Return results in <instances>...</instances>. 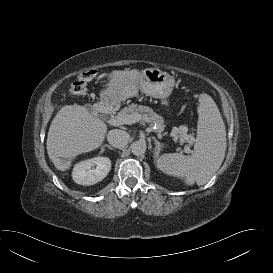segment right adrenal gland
Masks as SVG:
<instances>
[{
	"instance_id": "right-adrenal-gland-1",
	"label": "right adrenal gland",
	"mask_w": 273,
	"mask_h": 273,
	"mask_svg": "<svg viewBox=\"0 0 273 273\" xmlns=\"http://www.w3.org/2000/svg\"><path fill=\"white\" fill-rule=\"evenodd\" d=\"M106 147L109 148L110 150H114V148L111 147V146L108 145V144L103 145L102 150H104V148H106Z\"/></svg>"
}]
</instances>
